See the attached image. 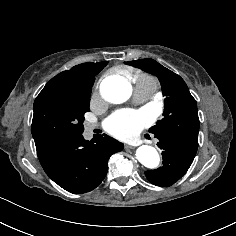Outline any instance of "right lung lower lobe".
<instances>
[{
	"mask_svg": "<svg viewBox=\"0 0 236 236\" xmlns=\"http://www.w3.org/2000/svg\"><path fill=\"white\" fill-rule=\"evenodd\" d=\"M103 135L91 141L79 134L35 142L44 171L71 193L81 194L93 190L105 178L110 156L124 147L122 143Z\"/></svg>",
	"mask_w": 236,
	"mask_h": 236,
	"instance_id": "right-lung-lower-lobe-1",
	"label": "right lung lower lobe"
}]
</instances>
